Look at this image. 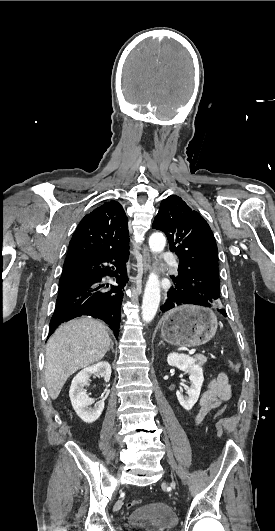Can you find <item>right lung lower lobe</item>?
I'll list each match as a JSON object with an SVG mask.
<instances>
[{
	"label": "right lung lower lobe",
	"instance_id": "1",
	"mask_svg": "<svg viewBox=\"0 0 275 531\" xmlns=\"http://www.w3.org/2000/svg\"><path fill=\"white\" fill-rule=\"evenodd\" d=\"M128 256L129 245L105 253L66 259L49 335L59 324L88 315L106 322L118 336L122 289L128 281L125 269ZM104 276L116 277L118 285L104 283Z\"/></svg>",
	"mask_w": 275,
	"mask_h": 531
}]
</instances>
